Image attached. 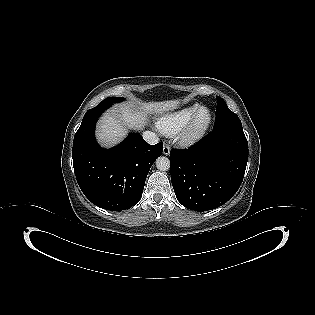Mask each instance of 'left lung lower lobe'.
I'll return each mask as SVG.
<instances>
[{
  "label": "left lung lower lobe",
  "mask_w": 315,
  "mask_h": 315,
  "mask_svg": "<svg viewBox=\"0 0 315 315\" xmlns=\"http://www.w3.org/2000/svg\"><path fill=\"white\" fill-rule=\"evenodd\" d=\"M248 160L243 128L213 130L188 149L170 151L171 180L186 208L206 211L226 203L239 189Z\"/></svg>",
  "instance_id": "obj_1"
}]
</instances>
